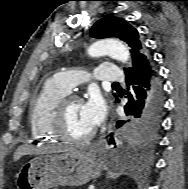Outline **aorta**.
Returning <instances> with one entry per match:
<instances>
[{"label":"aorta","instance_id":"762f6f07","mask_svg":"<svg viewBox=\"0 0 188 189\" xmlns=\"http://www.w3.org/2000/svg\"><path fill=\"white\" fill-rule=\"evenodd\" d=\"M88 54L92 57L109 55L112 58L127 62L130 58V52L126 45L121 41L113 38L98 40L94 42L88 49Z\"/></svg>","mask_w":188,"mask_h":189}]
</instances>
